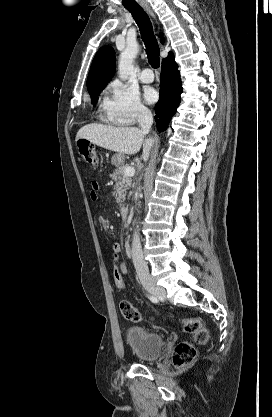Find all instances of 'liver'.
Segmentation results:
<instances>
[{"label":"liver","instance_id":"6515ba94","mask_svg":"<svg viewBox=\"0 0 272 417\" xmlns=\"http://www.w3.org/2000/svg\"><path fill=\"white\" fill-rule=\"evenodd\" d=\"M146 134L137 127H114L93 123L79 129L76 141L87 139L105 149L128 155L136 154L143 145L142 158L146 162L155 142L152 137L144 141Z\"/></svg>","mask_w":272,"mask_h":417}]
</instances>
